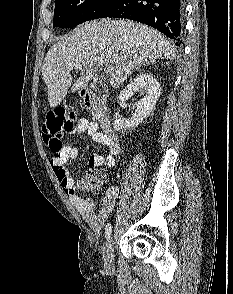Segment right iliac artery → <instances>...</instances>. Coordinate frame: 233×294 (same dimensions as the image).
I'll use <instances>...</instances> for the list:
<instances>
[{
    "mask_svg": "<svg viewBox=\"0 0 233 294\" xmlns=\"http://www.w3.org/2000/svg\"><path fill=\"white\" fill-rule=\"evenodd\" d=\"M112 232V227L110 223H107L106 227H105V237L108 240L110 238Z\"/></svg>",
    "mask_w": 233,
    "mask_h": 294,
    "instance_id": "right-iliac-artery-1",
    "label": "right iliac artery"
}]
</instances>
